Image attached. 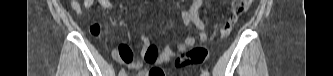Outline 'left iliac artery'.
I'll return each instance as SVG.
<instances>
[{
	"instance_id": "1",
	"label": "left iliac artery",
	"mask_w": 333,
	"mask_h": 76,
	"mask_svg": "<svg viewBox=\"0 0 333 76\" xmlns=\"http://www.w3.org/2000/svg\"><path fill=\"white\" fill-rule=\"evenodd\" d=\"M202 76H209V72L207 70L202 71Z\"/></svg>"
}]
</instances>
